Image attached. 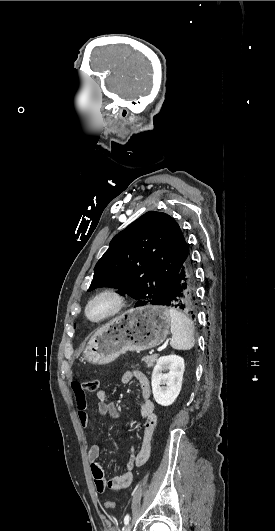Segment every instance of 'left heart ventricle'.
Listing matches in <instances>:
<instances>
[{
  "instance_id": "left-heart-ventricle-1",
  "label": "left heart ventricle",
  "mask_w": 275,
  "mask_h": 531,
  "mask_svg": "<svg viewBox=\"0 0 275 531\" xmlns=\"http://www.w3.org/2000/svg\"><path fill=\"white\" fill-rule=\"evenodd\" d=\"M106 309H107V304L98 303L92 308L91 312L93 315H100L103 312H105Z\"/></svg>"
}]
</instances>
